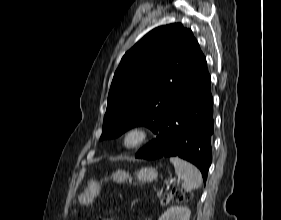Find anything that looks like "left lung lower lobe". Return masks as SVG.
Returning <instances> with one entry per match:
<instances>
[{"label":"left lung lower lobe","instance_id":"1","mask_svg":"<svg viewBox=\"0 0 281 220\" xmlns=\"http://www.w3.org/2000/svg\"><path fill=\"white\" fill-rule=\"evenodd\" d=\"M206 59L180 85L175 103L165 116L155 140L135 157L156 159L177 156L196 165L207 178L212 161L213 98Z\"/></svg>","mask_w":281,"mask_h":220}]
</instances>
